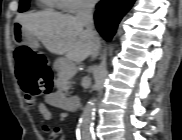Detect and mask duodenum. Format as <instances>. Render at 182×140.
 <instances>
[{
    "label": "duodenum",
    "instance_id": "410a0bca",
    "mask_svg": "<svg viewBox=\"0 0 182 140\" xmlns=\"http://www.w3.org/2000/svg\"><path fill=\"white\" fill-rule=\"evenodd\" d=\"M80 104H81L80 99H78V98H71V99L67 100L64 105L67 108L76 110V109H79Z\"/></svg>",
    "mask_w": 182,
    "mask_h": 140
}]
</instances>
